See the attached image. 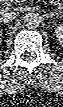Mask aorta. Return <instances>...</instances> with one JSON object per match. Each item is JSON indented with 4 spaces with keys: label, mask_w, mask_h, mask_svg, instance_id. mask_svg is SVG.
I'll use <instances>...</instances> for the list:
<instances>
[{
    "label": "aorta",
    "mask_w": 63,
    "mask_h": 107,
    "mask_svg": "<svg viewBox=\"0 0 63 107\" xmlns=\"http://www.w3.org/2000/svg\"><path fill=\"white\" fill-rule=\"evenodd\" d=\"M24 24L26 27L28 28H34L37 27L40 23V17L38 14L33 13V12H29L27 13L24 18Z\"/></svg>",
    "instance_id": "aorta-1"
}]
</instances>
